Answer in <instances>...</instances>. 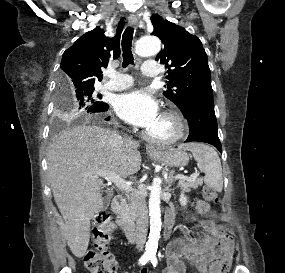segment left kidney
I'll list each match as a JSON object with an SVG mask.
<instances>
[{"label":"left kidney","instance_id":"obj_1","mask_svg":"<svg viewBox=\"0 0 285 273\" xmlns=\"http://www.w3.org/2000/svg\"><path fill=\"white\" fill-rule=\"evenodd\" d=\"M180 203L182 205H185L187 203V198L184 196V194L180 196Z\"/></svg>","mask_w":285,"mask_h":273}]
</instances>
